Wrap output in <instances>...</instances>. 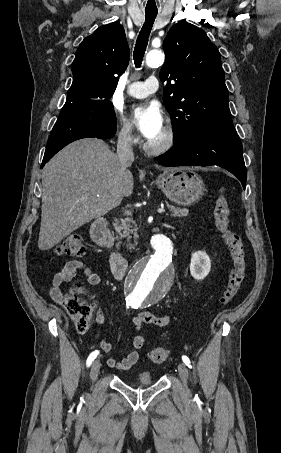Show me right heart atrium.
Returning a JSON list of instances; mask_svg holds the SVG:
<instances>
[{"label":"right heart atrium","instance_id":"right-heart-atrium-1","mask_svg":"<svg viewBox=\"0 0 281 453\" xmlns=\"http://www.w3.org/2000/svg\"><path fill=\"white\" fill-rule=\"evenodd\" d=\"M116 134L119 142L124 146H132L137 139V131L134 125L124 118H120L115 123ZM109 169L116 173L125 171L123 166L114 158L111 159Z\"/></svg>","mask_w":281,"mask_h":453}]
</instances>
